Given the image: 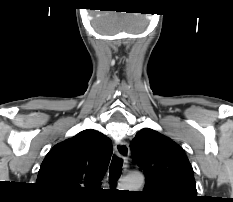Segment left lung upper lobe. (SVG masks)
I'll list each match as a JSON object with an SVG mask.
<instances>
[{"label": "left lung upper lobe", "mask_w": 233, "mask_h": 202, "mask_svg": "<svg viewBox=\"0 0 233 202\" xmlns=\"http://www.w3.org/2000/svg\"><path fill=\"white\" fill-rule=\"evenodd\" d=\"M133 160L144 170L149 202H196L193 169L183 149L159 132L144 128L131 143Z\"/></svg>", "instance_id": "obj_1"}]
</instances>
